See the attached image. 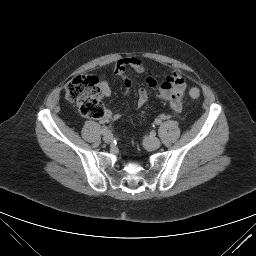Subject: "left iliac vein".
Segmentation results:
<instances>
[{"mask_svg": "<svg viewBox=\"0 0 256 256\" xmlns=\"http://www.w3.org/2000/svg\"><path fill=\"white\" fill-rule=\"evenodd\" d=\"M144 145L150 150H155L161 146V142L157 137L149 136L145 138Z\"/></svg>", "mask_w": 256, "mask_h": 256, "instance_id": "4c4485c4", "label": "left iliac vein"}]
</instances>
